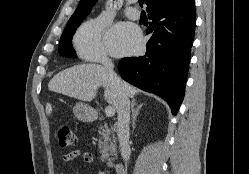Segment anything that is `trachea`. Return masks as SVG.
Returning a JSON list of instances; mask_svg holds the SVG:
<instances>
[{
  "label": "trachea",
  "mask_w": 249,
  "mask_h": 174,
  "mask_svg": "<svg viewBox=\"0 0 249 174\" xmlns=\"http://www.w3.org/2000/svg\"><path fill=\"white\" fill-rule=\"evenodd\" d=\"M143 4H144V0H139V5H140L141 7H143Z\"/></svg>",
  "instance_id": "3493384b"
}]
</instances>
